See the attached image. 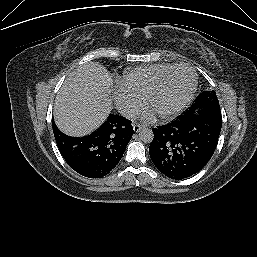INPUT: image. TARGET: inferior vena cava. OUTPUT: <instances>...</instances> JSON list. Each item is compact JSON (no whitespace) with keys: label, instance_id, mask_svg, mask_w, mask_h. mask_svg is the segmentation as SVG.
Listing matches in <instances>:
<instances>
[{"label":"inferior vena cava","instance_id":"1","mask_svg":"<svg viewBox=\"0 0 257 257\" xmlns=\"http://www.w3.org/2000/svg\"><path fill=\"white\" fill-rule=\"evenodd\" d=\"M120 113L127 119L135 120L139 115V110L136 107H123Z\"/></svg>","mask_w":257,"mask_h":257}]
</instances>
